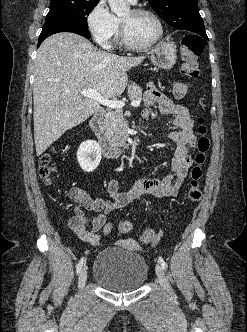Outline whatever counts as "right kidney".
Here are the masks:
<instances>
[{"instance_id":"obj_1","label":"right kidney","mask_w":247,"mask_h":332,"mask_svg":"<svg viewBox=\"0 0 247 332\" xmlns=\"http://www.w3.org/2000/svg\"><path fill=\"white\" fill-rule=\"evenodd\" d=\"M77 160L83 171L92 172L101 160L100 145L93 140L82 142L77 151Z\"/></svg>"}]
</instances>
